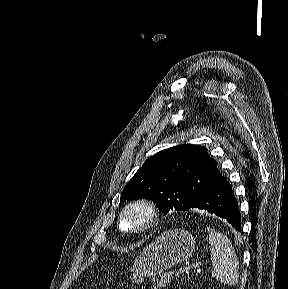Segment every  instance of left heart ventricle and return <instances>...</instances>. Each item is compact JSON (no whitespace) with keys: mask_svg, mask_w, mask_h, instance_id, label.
I'll list each match as a JSON object with an SVG mask.
<instances>
[{"mask_svg":"<svg viewBox=\"0 0 288 289\" xmlns=\"http://www.w3.org/2000/svg\"><path fill=\"white\" fill-rule=\"evenodd\" d=\"M143 219L141 212L132 211L125 215L122 226L125 229H132L139 225Z\"/></svg>","mask_w":288,"mask_h":289,"instance_id":"left-heart-ventricle-1","label":"left heart ventricle"}]
</instances>
